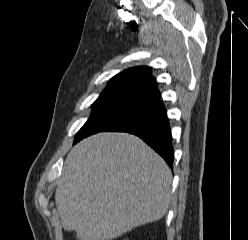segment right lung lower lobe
Here are the masks:
<instances>
[{"label": "right lung lower lobe", "mask_w": 248, "mask_h": 240, "mask_svg": "<svg viewBox=\"0 0 248 240\" xmlns=\"http://www.w3.org/2000/svg\"><path fill=\"white\" fill-rule=\"evenodd\" d=\"M102 131L128 132L140 137L172 167L174 160L172 137L160 95L120 109L101 120L82 138Z\"/></svg>", "instance_id": "98d812e1"}]
</instances>
